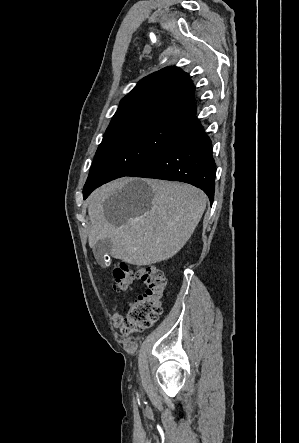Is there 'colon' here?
<instances>
[{
	"instance_id": "obj_1",
	"label": "colon",
	"mask_w": 299,
	"mask_h": 443,
	"mask_svg": "<svg viewBox=\"0 0 299 443\" xmlns=\"http://www.w3.org/2000/svg\"><path fill=\"white\" fill-rule=\"evenodd\" d=\"M114 288L120 293L130 292L136 280L146 285L142 295L128 305L122 321L123 332L127 335L151 327L162 314V300L165 295L166 278L154 265L133 269L127 263H120L113 270Z\"/></svg>"
}]
</instances>
